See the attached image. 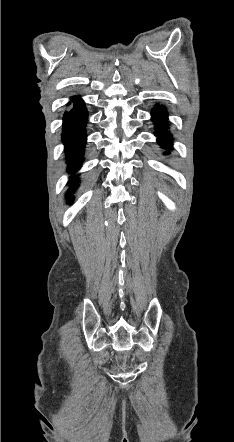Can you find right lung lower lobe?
I'll return each mask as SVG.
<instances>
[{
    "instance_id": "right-lung-lower-lobe-1",
    "label": "right lung lower lobe",
    "mask_w": 234,
    "mask_h": 442,
    "mask_svg": "<svg viewBox=\"0 0 234 442\" xmlns=\"http://www.w3.org/2000/svg\"><path fill=\"white\" fill-rule=\"evenodd\" d=\"M73 108L64 115L63 142L66 148L70 172L75 173V168L81 164L84 145L86 142L85 125L87 123V111L83 101L76 97L71 100ZM77 176L72 177L70 182L76 184Z\"/></svg>"
}]
</instances>
